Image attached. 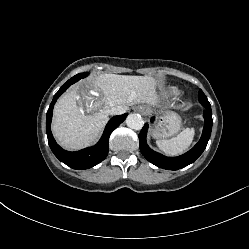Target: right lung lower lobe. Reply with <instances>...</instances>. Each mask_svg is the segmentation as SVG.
I'll use <instances>...</instances> for the list:
<instances>
[{
  "label": "right lung lower lobe",
  "instance_id": "1",
  "mask_svg": "<svg viewBox=\"0 0 249 249\" xmlns=\"http://www.w3.org/2000/svg\"><path fill=\"white\" fill-rule=\"evenodd\" d=\"M81 78H84L80 74L75 75L71 79H69L60 89L59 91L54 95V98L50 104V107L47 112L46 117V133L48 137V143L49 146L54 153V155L63 163L68 165L69 167L73 169H88L91 168L101 161H103L109 151V137L110 134L115 130L127 117V114L114 116L110 119L108 124L105 127L104 133L99 140V142L92 147L85 148L80 151L76 152H68L62 149L54 140L53 135L51 133V120H52V112H53V106L59 96L66 91V89L80 80Z\"/></svg>",
  "mask_w": 249,
  "mask_h": 249
}]
</instances>
